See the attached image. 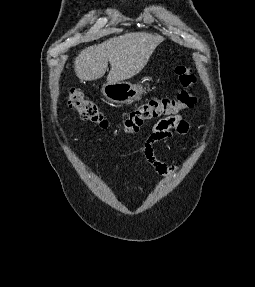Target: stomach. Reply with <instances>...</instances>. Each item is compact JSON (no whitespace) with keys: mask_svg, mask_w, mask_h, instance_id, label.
I'll list each match as a JSON object with an SVG mask.
<instances>
[{"mask_svg":"<svg viewBox=\"0 0 255 287\" xmlns=\"http://www.w3.org/2000/svg\"><path fill=\"white\" fill-rule=\"evenodd\" d=\"M145 88L129 84V82H112V84H103L101 92L109 102L114 104H133L141 100Z\"/></svg>","mask_w":255,"mask_h":287,"instance_id":"stomach-1","label":"stomach"}]
</instances>
